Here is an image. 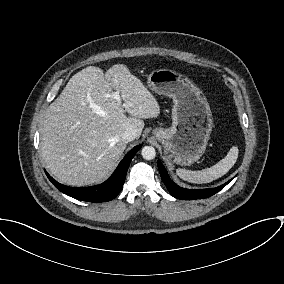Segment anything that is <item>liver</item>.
I'll return each mask as SVG.
<instances>
[{
	"instance_id": "obj_1",
	"label": "liver",
	"mask_w": 284,
	"mask_h": 284,
	"mask_svg": "<svg viewBox=\"0 0 284 284\" xmlns=\"http://www.w3.org/2000/svg\"><path fill=\"white\" fill-rule=\"evenodd\" d=\"M113 89L120 93V101L111 96ZM159 114L154 96L126 65L115 64L105 74L88 66L70 78L47 108L41 131L42 157L61 183H100L127 146L124 131L132 128L139 138L143 119Z\"/></svg>"
}]
</instances>
